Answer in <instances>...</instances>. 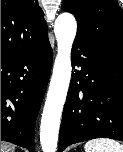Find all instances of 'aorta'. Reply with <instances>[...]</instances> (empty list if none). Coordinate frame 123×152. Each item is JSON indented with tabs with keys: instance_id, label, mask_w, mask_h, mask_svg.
I'll return each instance as SVG.
<instances>
[{
	"instance_id": "1",
	"label": "aorta",
	"mask_w": 123,
	"mask_h": 152,
	"mask_svg": "<svg viewBox=\"0 0 123 152\" xmlns=\"http://www.w3.org/2000/svg\"><path fill=\"white\" fill-rule=\"evenodd\" d=\"M76 31L77 23L73 15L63 13L57 17L54 32L58 53L40 126V142L43 152H55L57 148L60 118L71 79V48Z\"/></svg>"
}]
</instances>
